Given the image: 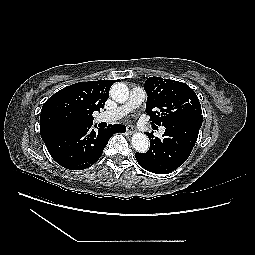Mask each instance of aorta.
Masks as SVG:
<instances>
[{
    "label": "aorta",
    "mask_w": 255,
    "mask_h": 255,
    "mask_svg": "<svg viewBox=\"0 0 255 255\" xmlns=\"http://www.w3.org/2000/svg\"><path fill=\"white\" fill-rule=\"evenodd\" d=\"M128 95V87L123 83H115L110 89L111 98L118 103H124L128 99ZM131 141L136 151L141 153L148 151L149 139L144 133H134Z\"/></svg>",
    "instance_id": "aorta-1"
}]
</instances>
